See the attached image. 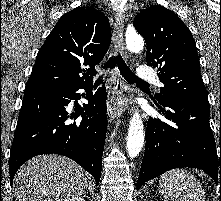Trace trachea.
Masks as SVG:
<instances>
[{
  "mask_svg": "<svg viewBox=\"0 0 221 201\" xmlns=\"http://www.w3.org/2000/svg\"><path fill=\"white\" fill-rule=\"evenodd\" d=\"M118 66V69L120 70L121 75L130 83H136L141 85H148V83L138 79L132 71L129 69V67L126 65L124 60L122 59L121 55L118 54L116 56H112L109 61L105 65V70L107 69H113L115 66ZM103 80V76L99 77L96 80V83H101Z\"/></svg>",
  "mask_w": 221,
  "mask_h": 201,
  "instance_id": "trachea-1",
  "label": "trachea"
}]
</instances>
